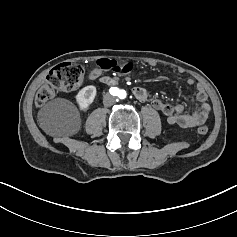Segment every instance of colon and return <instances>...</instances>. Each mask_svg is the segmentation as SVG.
Segmentation results:
<instances>
[{
    "label": "colon",
    "instance_id": "obj_1",
    "mask_svg": "<svg viewBox=\"0 0 237 237\" xmlns=\"http://www.w3.org/2000/svg\"><path fill=\"white\" fill-rule=\"evenodd\" d=\"M97 66L104 71H111L115 75H125L130 73L133 62L120 63L114 59H99ZM84 79V69L82 66L73 63H62L55 66L48 74L46 81L41 85L36 94L37 106H43L46 102L54 98L58 91H74ZM199 134L204 135L208 132L206 125L198 126Z\"/></svg>",
    "mask_w": 237,
    "mask_h": 237
}]
</instances>
